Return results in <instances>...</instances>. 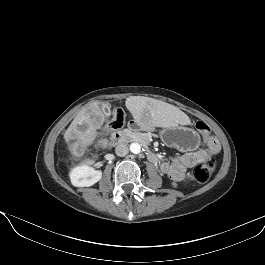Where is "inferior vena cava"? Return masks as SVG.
Instances as JSON below:
<instances>
[{"instance_id": "obj_1", "label": "inferior vena cava", "mask_w": 265, "mask_h": 265, "mask_svg": "<svg viewBox=\"0 0 265 265\" xmlns=\"http://www.w3.org/2000/svg\"><path fill=\"white\" fill-rule=\"evenodd\" d=\"M128 152H129L128 146L127 144H124V143L117 145L115 148L116 155L120 157L126 156Z\"/></svg>"}]
</instances>
